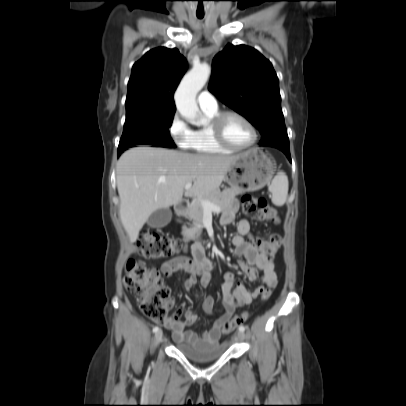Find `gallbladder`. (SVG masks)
<instances>
[{
	"label": "gallbladder",
	"instance_id": "obj_1",
	"mask_svg": "<svg viewBox=\"0 0 406 406\" xmlns=\"http://www.w3.org/2000/svg\"><path fill=\"white\" fill-rule=\"evenodd\" d=\"M172 212L169 208H161L153 212L147 220V225L153 228L164 227L169 224Z\"/></svg>",
	"mask_w": 406,
	"mask_h": 406
}]
</instances>
